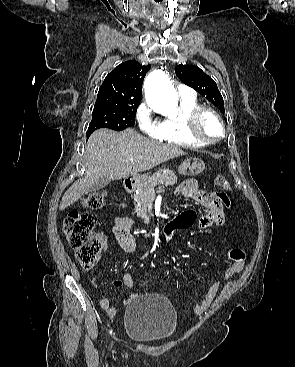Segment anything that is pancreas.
<instances>
[{"mask_svg":"<svg viewBox=\"0 0 295 367\" xmlns=\"http://www.w3.org/2000/svg\"><path fill=\"white\" fill-rule=\"evenodd\" d=\"M177 183V177L174 173H156L146 181L137 186V193L132 196L135 202V213L140 217L147 214L148 198L157 190L162 189V185L172 186Z\"/></svg>","mask_w":295,"mask_h":367,"instance_id":"pancreas-1","label":"pancreas"}]
</instances>
